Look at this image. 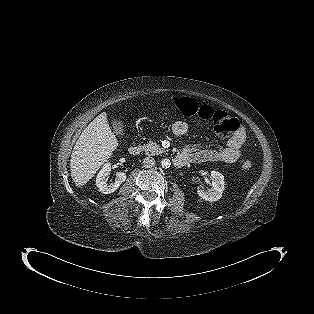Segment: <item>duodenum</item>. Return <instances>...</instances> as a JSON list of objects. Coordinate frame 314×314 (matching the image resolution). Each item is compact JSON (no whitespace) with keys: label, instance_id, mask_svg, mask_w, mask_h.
Instances as JSON below:
<instances>
[{"label":"duodenum","instance_id":"410a0bca","mask_svg":"<svg viewBox=\"0 0 314 314\" xmlns=\"http://www.w3.org/2000/svg\"><path fill=\"white\" fill-rule=\"evenodd\" d=\"M141 151L142 147L139 144H134L129 148V153L134 156L139 155ZM186 162H187L186 157H184L183 155H177L173 159L174 165L178 168L183 167L186 164Z\"/></svg>","mask_w":314,"mask_h":314}]
</instances>
